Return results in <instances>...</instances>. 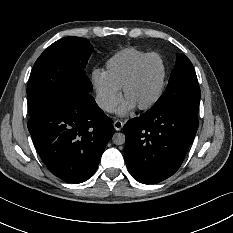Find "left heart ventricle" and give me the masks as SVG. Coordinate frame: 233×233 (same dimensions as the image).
Masks as SVG:
<instances>
[{"label": "left heart ventricle", "mask_w": 233, "mask_h": 233, "mask_svg": "<svg viewBox=\"0 0 233 233\" xmlns=\"http://www.w3.org/2000/svg\"><path fill=\"white\" fill-rule=\"evenodd\" d=\"M164 72L162 59L159 57L152 58L128 89L126 98L131 99L137 106L149 104L160 90Z\"/></svg>", "instance_id": "obj_1"}]
</instances>
